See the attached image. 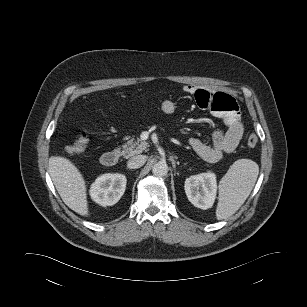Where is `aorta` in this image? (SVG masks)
Returning <instances> with one entry per match:
<instances>
[{
    "mask_svg": "<svg viewBox=\"0 0 307 307\" xmlns=\"http://www.w3.org/2000/svg\"><path fill=\"white\" fill-rule=\"evenodd\" d=\"M152 172L156 177H164L168 173V165L166 162H158L153 166Z\"/></svg>",
    "mask_w": 307,
    "mask_h": 307,
    "instance_id": "762f6f07",
    "label": "aorta"
}]
</instances>
